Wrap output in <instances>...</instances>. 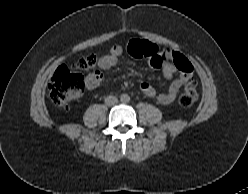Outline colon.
<instances>
[{"label": "colon", "mask_w": 248, "mask_h": 194, "mask_svg": "<svg viewBox=\"0 0 248 194\" xmlns=\"http://www.w3.org/2000/svg\"><path fill=\"white\" fill-rule=\"evenodd\" d=\"M128 52L135 58H155L159 52L158 47L149 41L134 40L128 44ZM177 62H182L183 57L174 53ZM99 58L96 54H90L71 66L62 65L56 69L49 82V92L52 101L57 105H64L78 97L85 88V76H90L98 71ZM198 98L197 84L195 80L186 81L179 97V103L183 107L193 105Z\"/></svg>", "instance_id": "1"}]
</instances>
